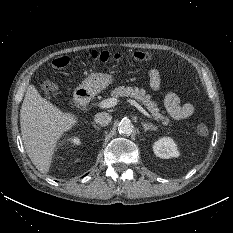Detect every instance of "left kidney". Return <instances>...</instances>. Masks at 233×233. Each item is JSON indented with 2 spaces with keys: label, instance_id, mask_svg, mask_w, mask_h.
<instances>
[{
  "label": "left kidney",
  "instance_id": "5707ae66",
  "mask_svg": "<svg viewBox=\"0 0 233 233\" xmlns=\"http://www.w3.org/2000/svg\"><path fill=\"white\" fill-rule=\"evenodd\" d=\"M153 150L156 156L164 159L179 156L177 145L170 137H163L156 141L153 145Z\"/></svg>",
  "mask_w": 233,
  "mask_h": 233
}]
</instances>
